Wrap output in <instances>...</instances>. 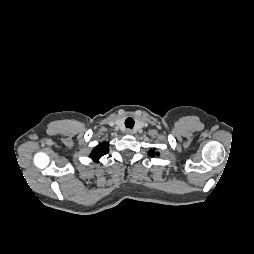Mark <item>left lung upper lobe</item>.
Returning <instances> with one entry per match:
<instances>
[{"instance_id":"left-lung-upper-lobe-1","label":"left lung upper lobe","mask_w":254,"mask_h":254,"mask_svg":"<svg viewBox=\"0 0 254 254\" xmlns=\"http://www.w3.org/2000/svg\"><path fill=\"white\" fill-rule=\"evenodd\" d=\"M149 153H151V156L153 157V156H155V153H154V151H149ZM157 155H159V153H157Z\"/></svg>"}]
</instances>
